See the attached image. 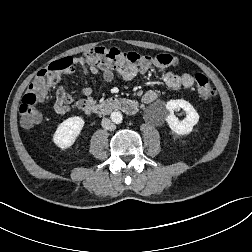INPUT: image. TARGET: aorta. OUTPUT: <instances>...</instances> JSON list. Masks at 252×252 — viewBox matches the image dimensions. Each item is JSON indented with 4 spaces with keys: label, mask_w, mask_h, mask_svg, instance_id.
<instances>
[{
    "label": "aorta",
    "mask_w": 252,
    "mask_h": 252,
    "mask_svg": "<svg viewBox=\"0 0 252 252\" xmlns=\"http://www.w3.org/2000/svg\"><path fill=\"white\" fill-rule=\"evenodd\" d=\"M111 119L114 123L120 124L123 120V115L120 111H114L111 113Z\"/></svg>",
    "instance_id": "762f6f07"
}]
</instances>
